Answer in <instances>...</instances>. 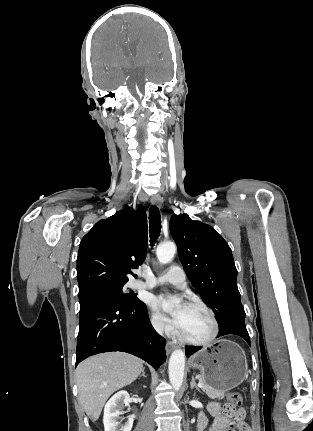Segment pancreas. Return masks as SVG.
I'll return each mask as SVG.
<instances>
[{
	"instance_id": "obj_1",
	"label": "pancreas",
	"mask_w": 313,
	"mask_h": 431,
	"mask_svg": "<svg viewBox=\"0 0 313 431\" xmlns=\"http://www.w3.org/2000/svg\"><path fill=\"white\" fill-rule=\"evenodd\" d=\"M199 380L203 383L201 376L199 377ZM202 390L207 394L209 398L212 399H222L225 396V391L215 390L212 387L206 385L203 383Z\"/></svg>"
}]
</instances>
